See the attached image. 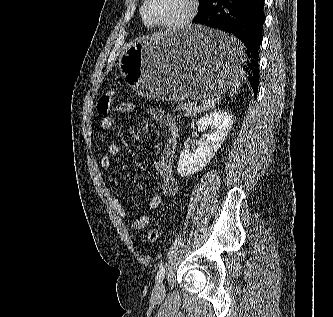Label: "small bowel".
Masks as SVG:
<instances>
[{
    "instance_id": "1",
    "label": "small bowel",
    "mask_w": 333,
    "mask_h": 317,
    "mask_svg": "<svg viewBox=\"0 0 333 317\" xmlns=\"http://www.w3.org/2000/svg\"><path fill=\"white\" fill-rule=\"evenodd\" d=\"M136 109L135 104L131 102H121L117 105V111L120 113H131ZM148 114L152 119L170 131L171 138L166 142L162 149L160 157L154 162V169L161 177V194L152 195L147 202V209L150 213L156 212L162 205L163 197H173L178 191V184L173 175V163L177 148L176 136L178 125L174 119L165 111L158 108H148ZM115 124L113 116H106L100 123L102 134L108 133ZM120 146L117 143H110L107 147V154L101 158V166L106 171L112 170V158L118 156ZM113 202L119 215L127 219L126 212L120 204L118 198L112 194ZM129 226L133 229H143L150 222V215L143 213L137 218L127 220Z\"/></svg>"
}]
</instances>
